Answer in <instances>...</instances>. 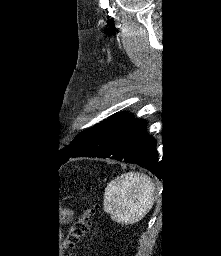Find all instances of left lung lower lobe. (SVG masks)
Wrapping results in <instances>:
<instances>
[{"label":"left lung lower lobe","mask_w":221,"mask_h":256,"mask_svg":"<svg viewBox=\"0 0 221 256\" xmlns=\"http://www.w3.org/2000/svg\"><path fill=\"white\" fill-rule=\"evenodd\" d=\"M146 126L144 120L133 119L131 114H120L105 122L71 157L111 158L136 163L158 175L156 141L146 135Z\"/></svg>","instance_id":"1"}]
</instances>
